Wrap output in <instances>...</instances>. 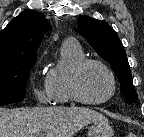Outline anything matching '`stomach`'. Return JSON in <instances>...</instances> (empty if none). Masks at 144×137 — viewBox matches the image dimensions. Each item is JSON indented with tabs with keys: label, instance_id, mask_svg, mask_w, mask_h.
Wrapping results in <instances>:
<instances>
[{
	"label": "stomach",
	"instance_id": "0dacf381",
	"mask_svg": "<svg viewBox=\"0 0 144 137\" xmlns=\"http://www.w3.org/2000/svg\"><path fill=\"white\" fill-rule=\"evenodd\" d=\"M113 134L108 120L95 121L88 129V137H113Z\"/></svg>",
	"mask_w": 144,
	"mask_h": 137
}]
</instances>
